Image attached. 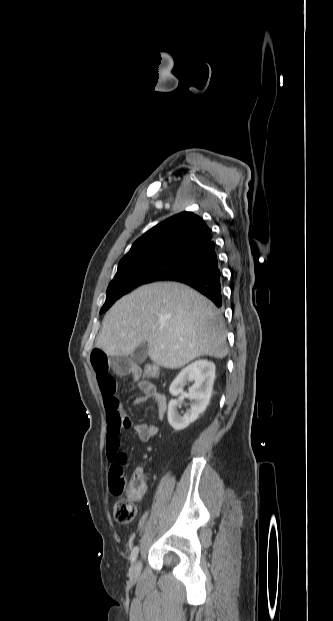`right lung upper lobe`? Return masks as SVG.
<instances>
[{"label": "right lung upper lobe", "instance_id": "obj_1", "mask_svg": "<svg viewBox=\"0 0 333 621\" xmlns=\"http://www.w3.org/2000/svg\"><path fill=\"white\" fill-rule=\"evenodd\" d=\"M212 239V231L205 221L184 211L160 222L137 239L119 263L162 257L186 258Z\"/></svg>", "mask_w": 333, "mask_h": 621}]
</instances>
